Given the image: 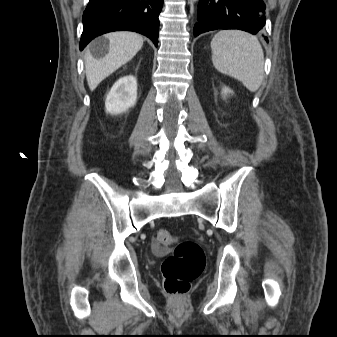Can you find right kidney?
<instances>
[{"mask_svg":"<svg viewBox=\"0 0 337 337\" xmlns=\"http://www.w3.org/2000/svg\"><path fill=\"white\" fill-rule=\"evenodd\" d=\"M137 99V81L132 75L118 79L105 100V109L110 114L126 112L134 106Z\"/></svg>","mask_w":337,"mask_h":337,"instance_id":"right-kidney-1","label":"right kidney"}]
</instances>
